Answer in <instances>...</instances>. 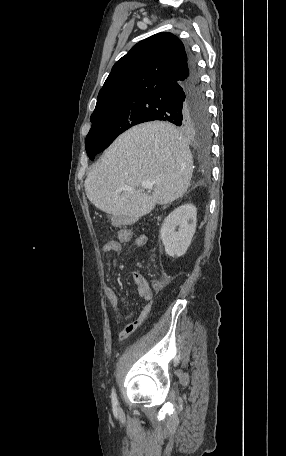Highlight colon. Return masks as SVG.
I'll return each mask as SVG.
<instances>
[{
  "label": "colon",
  "instance_id": "colon-1",
  "mask_svg": "<svg viewBox=\"0 0 286 456\" xmlns=\"http://www.w3.org/2000/svg\"><path fill=\"white\" fill-rule=\"evenodd\" d=\"M129 231H130V230H129ZM160 286H161V283L158 282V281H156V282H155V287L159 288Z\"/></svg>",
  "mask_w": 286,
  "mask_h": 456
}]
</instances>
